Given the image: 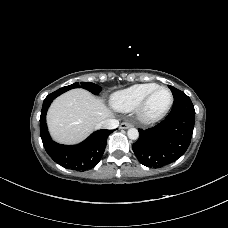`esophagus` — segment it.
Segmentation results:
<instances>
[{
    "mask_svg": "<svg viewBox=\"0 0 228 228\" xmlns=\"http://www.w3.org/2000/svg\"><path fill=\"white\" fill-rule=\"evenodd\" d=\"M130 127H132V124H131V123H128V122H123V123H121V125H120V128H121V129H128V128H130Z\"/></svg>",
    "mask_w": 228,
    "mask_h": 228,
    "instance_id": "1",
    "label": "esophagus"
}]
</instances>
